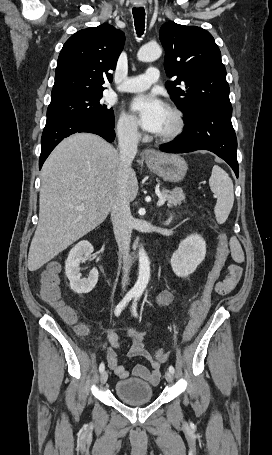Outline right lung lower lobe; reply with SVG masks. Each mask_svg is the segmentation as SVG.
Masks as SVG:
<instances>
[{
  "label": "right lung lower lobe",
  "instance_id": "obj_1",
  "mask_svg": "<svg viewBox=\"0 0 272 455\" xmlns=\"http://www.w3.org/2000/svg\"><path fill=\"white\" fill-rule=\"evenodd\" d=\"M77 132L94 133L108 142L115 139L114 123L90 117H71L46 122L41 138L39 169L51 151L66 137Z\"/></svg>",
  "mask_w": 272,
  "mask_h": 455
}]
</instances>
